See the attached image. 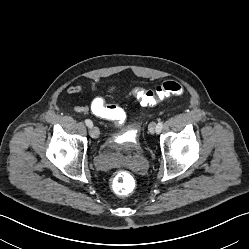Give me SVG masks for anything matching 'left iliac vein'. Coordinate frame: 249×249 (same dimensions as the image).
<instances>
[{"label": "left iliac vein", "instance_id": "4c4485c4", "mask_svg": "<svg viewBox=\"0 0 249 249\" xmlns=\"http://www.w3.org/2000/svg\"><path fill=\"white\" fill-rule=\"evenodd\" d=\"M149 132H150L151 134H154V133L156 132L155 123H151V124L149 125Z\"/></svg>", "mask_w": 249, "mask_h": 249}]
</instances>
